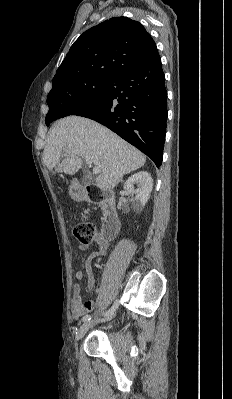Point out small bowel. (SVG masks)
Returning a JSON list of instances; mask_svg holds the SVG:
<instances>
[{"label": "small bowel", "mask_w": 232, "mask_h": 399, "mask_svg": "<svg viewBox=\"0 0 232 399\" xmlns=\"http://www.w3.org/2000/svg\"><path fill=\"white\" fill-rule=\"evenodd\" d=\"M111 243L110 242H101L99 244V248L97 251L92 252L88 255V261H92L98 258L103 257L105 254L106 250L110 247ZM89 248V243L88 242H81L80 244V249L82 251H85ZM77 276L78 278L82 279L85 276V272L83 268H80L77 271ZM94 285V278L90 270H88V282H87V290L91 291ZM93 309V303L88 301L83 303L81 299V293H80V287L78 284H74L73 286V294L70 299V308H69V314H70V320L72 322H76L80 316L84 315L87 311H90ZM123 326L127 329H132L137 327L136 322H126L123 324Z\"/></svg>", "instance_id": "small-bowel-1"}]
</instances>
